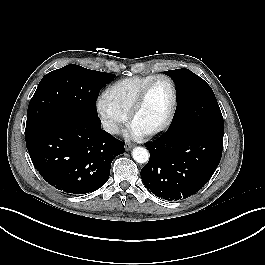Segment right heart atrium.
Masks as SVG:
<instances>
[{
	"label": "right heart atrium",
	"mask_w": 265,
	"mask_h": 265,
	"mask_svg": "<svg viewBox=\"0 0 265 265\" xmlns=\"http://www.w3.org/2000/svg\"><path fill=\"white\" fill-rule=\"evenodd\" d=\"M96 111L106 132L117 135L127 122V116L112 108L104 99L96 104Z\"/></svg>",
	"instance_id": "obj_1"
}]
</instances>
